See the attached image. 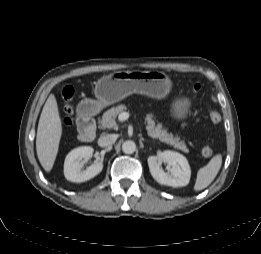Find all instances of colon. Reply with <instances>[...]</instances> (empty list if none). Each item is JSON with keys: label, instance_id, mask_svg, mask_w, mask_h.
Returning a JSON list of instances; mask_svg holds the SVG:
<instances>
[{"label": "colon", "instance_id": "obj_1", "mask_svg": "<svg viewBox=\"0 0 261 254\" xmlns=\"http://www.w3.org/2000/svg\"><path fill=\"white\" fill-rule=\"evenodd\" d=\"M192 90L195 93L199 92V90H200L199 84L193 85ZM73 95H74V90L72 87L68 86L63 89V92H62V122L65 127H70L72 124V118H71L72 109H71L70 102L73 98ZM208 118L213 123H219L222 119V116L218 111L209 109ZM213 153H214L213 147L210 145H207L202 149V155L204 157H210L213 155Z\"/></svg>", "mask_w": 261, "mask_h": 254}]
</instances>
